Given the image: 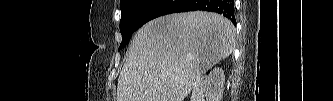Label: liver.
Masks as SVG:
<instances>
[{
    "instance_id": "6515ba94",
    "label": "liver",
    "mask_w": 333,
    "mask_h": 101,
    "mask_svg": "<svg viewBox=\"0 0 333 101\" xmlns=\"http://www.w3.org/2000/svg\"><path fill=\"white\" fill-rule=\"evenodd\" d=\"M234 45V25L217 13L193 11L153 19L131 41L118 78L117 101H183Z\"/></svg>"
}]
</instances>
